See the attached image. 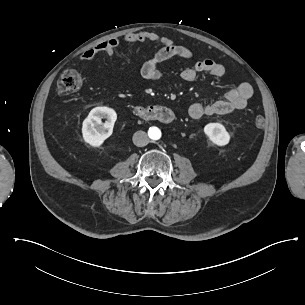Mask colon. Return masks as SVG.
Masks as SVG:
<instances>
[{
  "mask_svg": "<svg viewBox=\"0 0 305 305\" xmlns=\"http://www.w3.org/2000/svg\"><path fill=\"white\" fill-rule=\"evenodd\" d=\"M82 76L81 74L69 68L57 81L56 84V92L61 95H67L71 92L77 91L82 84ZM255 124L257 126H263L265 124V119L262 115H257L255 117Z\"/></svg>",
  "mask_w": 305,
  "mask_h": 305,
  "instance_id": "5ec220e1",
  "label": "colon"
}]
</instances>
